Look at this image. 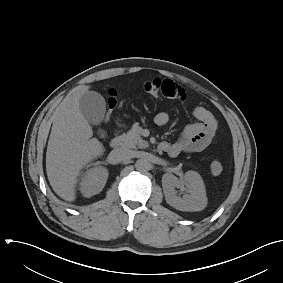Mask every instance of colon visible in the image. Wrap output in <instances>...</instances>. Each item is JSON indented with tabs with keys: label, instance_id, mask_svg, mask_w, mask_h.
I'll return each mask as SVG.
<instances>
[{
	"label": "colon",
	"instance_id": "1",
	"mask_svg": "<svg viewBox=\"0 0 283 283\" xmlns=\"http://www.w3.org/2000/svg\"><path fill=\"white\" fill-rule=\"evenodd\" d=\"M144 90L146 93L152 95V96H157L161 93L162 90V80L159 78H155L152 80L147 81L144 84ZM116 100H115V93L111 92L110 97L108 100V107L109 109H113L115 107ZM211 171L215 175H219L223 171V165L219 160H214L211 163Z\"/></svg>",
	"mask_w": 283,
	"mask_h": 283
}]
</instances>
